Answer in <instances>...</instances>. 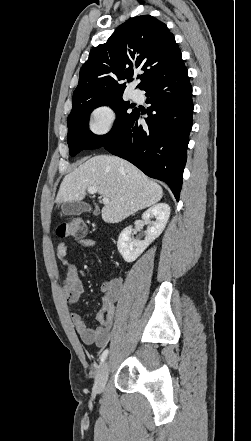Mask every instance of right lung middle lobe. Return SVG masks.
I'll return each mask as SVG.
<instances>
[{"label":"right lung middle lobe","instance_id":"obj_1","mask_svg":"<svg viewBox=\"0 0 251 441\" xmlns=\"http://www.w3.org/2000/svg\"><path fill=\"white\" fill-rule=\"evenodd\" d=\"M99 106H110L117 117L111 131L105 135H95L89 131L90 113ZM129 102L123 100L122 96L108 98H84L73 101L72 111L67 119L68 135L67 142L69 154L75 156L82 150L97 149L102 147L109 138L116 135L136 112Z\"/></svg>","mask_w":251,"mask_h":441}]
</instances>
